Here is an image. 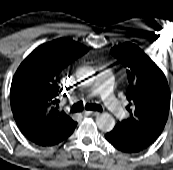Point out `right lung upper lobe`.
<instances>
[{"label": "right lung upper lobe", "mask_w": 173, "mask_h": 170, "mask_svg": "<svg viewBox=\"0 0 173 170\" xmlns=\"http://www.w3.org/2000/svg\"><path fill=\"white\" fill-rule=\"evenodd\" d=\"M87 47L70 39H56L37 47L20 64L11 84L14 119L30 141L47 138L73 124L57 99L62 71Z\"/></svg>", "instance_id": "right-lung-upper-lobe-1"}]
</instances>
